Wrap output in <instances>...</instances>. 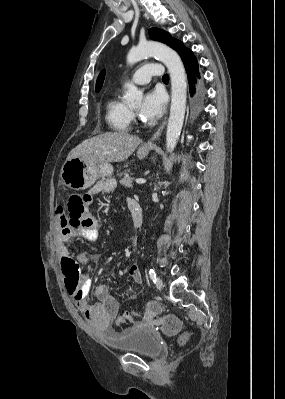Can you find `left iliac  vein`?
<instances>
[{
	"instance_id": "obj_1",
	"label": "left iliac vein",
	"mask_w": 285,
	"mask_h": 399,
	"mask_svg": "<svg viewBox=\"0 0 285 399\" xmlns=\"http://www.w3.org/2000/svg\"><path fill=\"white\" fill-rule=\"evenodd\" d=\"M162 285H163V283H162L161 278H160V277H157V280H156V287H157V289L161 290V289H162Z\"/></svg>"
}]
</instances>
